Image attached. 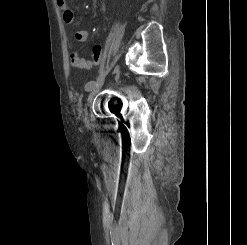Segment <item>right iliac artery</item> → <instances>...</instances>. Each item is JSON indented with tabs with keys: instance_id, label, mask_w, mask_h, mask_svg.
Segmentation results:
<instances>
[{
	"instance_id": "82829eb1",
	"label": "right iliac artery",
	"mask_w": 247,
	"mask_h": 245,
	"mask_svg": "<svg viewBox=\"0 0 247 245\" xmlns=\"http://www.w3.org/2000/svg\"><path fill=\"white\" fill-rule=\"evenodd\" d=\"M106 78H107V72L103 71L102 74L100 75V77H98L97 80L90 81L85 85V90L86 91H90L92 89V87H98V85H100L101 82H104Z\"/></svg>"
}]
</instances>
